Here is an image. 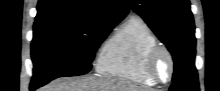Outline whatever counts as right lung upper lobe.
<instances>
[{
	"label": "right lung upper lobe",
	"instance_id": "1",
	"mask_svg": "<svg viewBox=\"0 0 220 91\" xmlns=\"http://www.w3.org/2000/svg\"><path fill=\"white\" fill-rule=\"evenodd\" d=\"M36 24L72 22L116 26L128 13L125 0H39Z\"/></svg>",
	"mask_w": 220,
	"mask_h": 91
}]
</instances>
